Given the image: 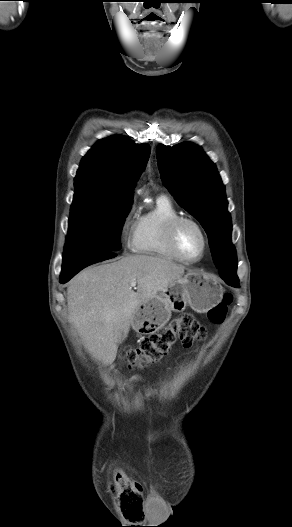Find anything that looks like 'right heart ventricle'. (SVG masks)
I'll return each instance as SVG.
<instances>
[{
    "instance_id": "obj_1",
    "label": "right heart ventricle",
    "mask_w": 292,
    "mask_h": 527,
    "mask_svg": "<svg viewBox=\"0 0 292 527\" xmlns=\"http://www.w3.org/2000/svg\"><path fill=\"white\" fill-rule=\"evenodd\" d=\"M180 213L166 196H160L155 206L136 220L131 247L135 253L166 259H176L167 246L168 224Z\"/></svg>"
}]
</instances>
